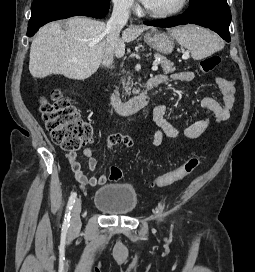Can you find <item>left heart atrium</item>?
<instances>
[{"label": "left heart atrium", "mask_w": 255, "mask_h": 272, "mask_svg": "<svg viewBox=\"0 0 255 272\" xmlns=\"http://www.w3.org/2000/svg\"><path fill=\"white\" fill-rule=\"evenodd\" d=\"M141 1L144 3V5H147L149 2V0H141Z\"/></svg>", "instance_id": "39dd6f15"}]
</instances>
